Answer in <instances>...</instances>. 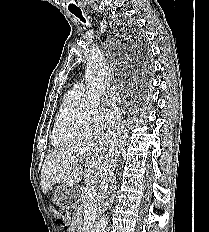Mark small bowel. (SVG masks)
Segmentation results:
<instances>
[{"label":"small bowel","mask_w":209,"mask_h":232,"mask_svg":"<svg viewBox=\"0 0 209 232\" xmlns=\"http://www.w3.org/2000/svg\"><path fill=\"white\" fill-rule=\"evenodd\" d=\"M81 227V217L76 214L69 224V232H78Z\"/></svg>","instance_id":"obj_1"}]
</instances>
